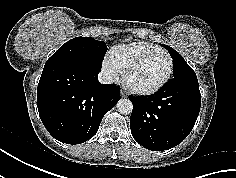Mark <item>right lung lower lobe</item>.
Segmentation results:
<instances>
[{
  "label": "right lung lower lobe",
  "instance_id": "obj_1",
  "mask_svg": "<svg viewBox=\"0 0 236 178\" xmlns=\"http://www.w3.org/2000/svg\"><path fill=\"white\" fill-rule=\"evenodd\" d=\"M101 67L87 60L46 62L37 88V107L42 123L58 141L81 144L89 140L120 100L118 86L98 81Z\"/></svg>",
  "mask_w": 236,
  "mask_h": 178
}]
</instances>
